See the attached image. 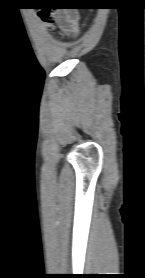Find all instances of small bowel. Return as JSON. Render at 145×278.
Segmentation results:
<instances>
[{"mask_svg": "<svg viewBox=\"0 0 145 278\" xmlns=\"http://www.w3.org/2000/svg\"><path fill=\"white\" fill-rule=\"evenodd\" d=\"M60 19L62 20L64 17L69 16L70 13H60L59 14ZM77 32V28L74 27L73 29H71L70 31H67L66 33L70 34V33H76Z\"/></svg>", "mask_w": 145, "mask_h": 278, "instance_id": "obj_1", "label": "small bowel"}]
</instances>
